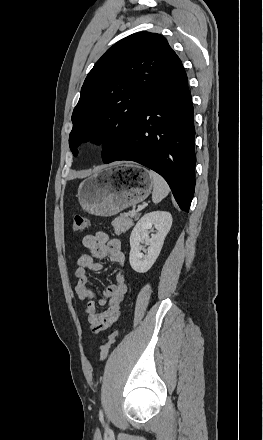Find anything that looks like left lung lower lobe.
<instances>
[{
  "mask_svg": "<svg viewBox=\"0 0 263 440\" xmlns=\"http://www.w3.org/2000/svg\"><path fill=\"white\" fill-rule=\"evenodd\" d=\"M193 117L187 75L175 54L134 122L130 145L108 163L130 160L154 170L189 212L195 190Z\"/></svg>",
  "mask_w": 263,
  "mask_h": 440,
  "instance_id": "left-lung-lower-lobe-1",
  "label": "left lung lower lobe"
}]
</instances>
